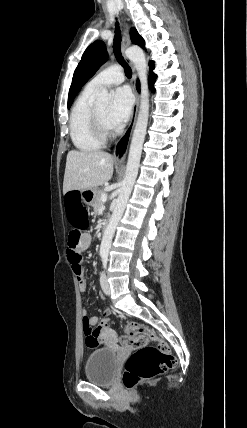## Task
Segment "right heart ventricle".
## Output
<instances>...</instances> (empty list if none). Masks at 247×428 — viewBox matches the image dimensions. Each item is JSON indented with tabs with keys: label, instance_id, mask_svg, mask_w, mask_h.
<instances>
[{
	"label": "right heart ventricle",
	"instance_id": "e07e8e85",
	"mask_svg": "<svg viewBox=\"0 0 247 428\" xmlns=\"http://www.w3.org/2000/svg\"><path fill=\"white\" fill-rule=\"evenodd\" d=\"M96 92V89L86 86L76 99L70 114L71 140L78 150L84 152L98 150L103 145L94 134L90 123Z\"/></svg>",
	"mask_w": 247,
	"mask_h": 428
}]
</instances>
